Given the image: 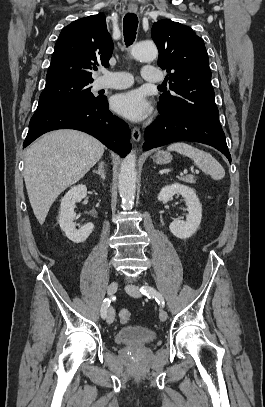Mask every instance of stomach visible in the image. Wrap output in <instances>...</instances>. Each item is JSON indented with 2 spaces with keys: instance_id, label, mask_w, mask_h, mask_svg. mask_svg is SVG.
<instances>
[{
  "instance_id": "obj_1",
  "label": "stomach",
  "mask_w": 265,
  "mask_h": 407,
  "mask_svg": "<svg viewBox=\"0 0 265 407\" xmlns=\"http://www.w3.org/2000/svg\"><path fill=\"white\" fill-rule=\"evenodd\" d=\"M172 160V155L166 151H158L153 156V161L159 165L168 164Z\"/></svg>"
}]
</instances>
